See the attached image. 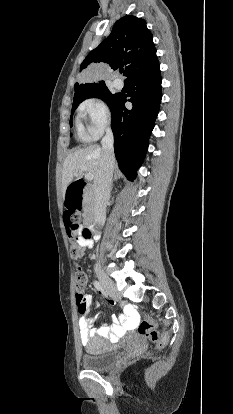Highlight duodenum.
<instances>
[{
  "label": "duodenum",
  "mask_w": 233,
  "mask_h": 414,
  "mask_svg": "<svg viewBox=\"0 0 233 414\" xmlns=\"http://www.w3.org/2000/svg\"><path fill=\"white\" fill-rule=\"evenodd\" d=\"M92 187L89 186L83 180H72V184L67 185L66 194L67 197V210L69 212H78L81 204H86V209L83 213V219L86 222L93 223V210H92Z\"/></svg>",
  "instance_id": "duodenum-1"
}]
</instances>
